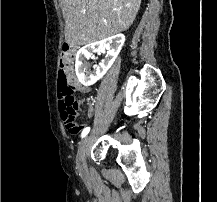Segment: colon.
<instances>
[{"mask_svg": "<svg viewBox=\"0 0 217 202\" xmlns=\"http://www.w3.org/2000/svg\"><path fill=\"white\" fill-rule=\"evenodd\" d=\"M75 47H62V55L60 60V67L58 68L57 79L58 82V91L57 102H62L60 106L59 117H66V120H63V125H66V128L74 134H77L82 129V124L77 121V114L79 112L78 104L74 100V89L73 82L74 77L72 73H75L73 55H75Z\"/></svg>", "mask_w": 217, "mask_h": 202, "instance_id": "1", "label": "colon"}]
</instances>
